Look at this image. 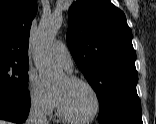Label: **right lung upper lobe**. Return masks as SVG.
<instances>
[{
  "label": "right lung upper lobe",
  "mask_w": 156,
  "mask_h": 124,
  "mask_svg": "<svg viewBox=\"0 0 156 124\" xmlns=\"http://www.w3.org/2000/svg\"><path fill=\"white\" fill-rule=\"evenodd\" d=\"M36 0H0V62L28 63Z\"/></svg>",
  "instance_id": "right-lung-upper-lobe-1"
}]
</instances>
